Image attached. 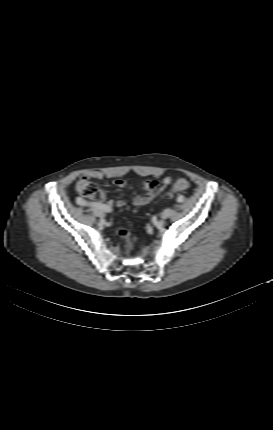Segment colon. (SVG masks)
Segmentation results:
<instances>
[{
	"instance_id": "1",
	"label": "colon",
	"mask_w": 273,
	"mask_h": 430,
	"mask_svg": "<svg viewBox=\"0 0 273 430\" xmlns=\"http://www.w3.org/2000/svg\"><path fill=\"white\" fill-rule=\"evenodd\" d=\"M188 186L189 184L186 180L179 179L174 183L170 191V195L177 196L179 192L186 190ZM76 191L83 197H92L97 193V186L94 182L90 180L89 177L83 176L76 184ZM117 233L120 235V237H122L125 240V245H124L125 251L126 252L132 251L134 245L131 240L130 232L123 227H118Z\"/></svg>"
}]
</instances>
